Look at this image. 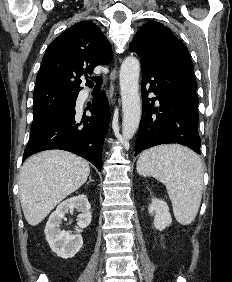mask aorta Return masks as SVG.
I'll return each instance as SVG.
<instances>
[{"instance_id": "762f6f07", "label": "aorta", "mask_w": 232, "mask_h": 282, "mask_svg": "<svg viewBox=\"0 0 232 282\" xmlns=\"http://www.w3.org/2000/svg\"><path fill=\"white\" fill-rule=\"evenodd\" d=\"M139 74V60L133 56L126 57L122 62L119 77L123 110L122 136L124 140H129L134 136L140 123Z\"/></svg>"}]
</instances>
